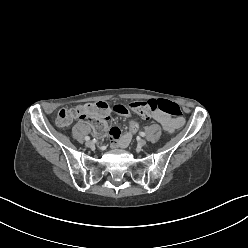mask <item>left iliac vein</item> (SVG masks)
<instances>
[{"label": "left iliac vein", "instance_id": "1", "mask_svg": "<svg viewBox=\"0 0 248 248\" xmlns=\"http://www.w3.org/2000/svg\"><path fill=\"white\" fill-rule=\"evenodd\" d=\"M146 140H144V139H140L139 141H138V146L139 147H144L145 145H146Z\"/></svg>", "mask_w": 248, "mask_h": 248}]
</instances>
